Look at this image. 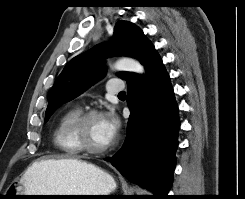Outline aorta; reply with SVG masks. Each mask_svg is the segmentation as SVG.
<instances>
[{
	"label": "aorta",
	"mask_w": 245,
	"mask_h": 199,
	"mask_svg": "<svg viewBox=\"0 0 245 199\" xmlns=\"http://www.w3.org/2000/svg\"><path fill=\"white\" fill-rule=\"evenodd\" d=\"M113 67L118 71H128L137 74H143L145 72L143 65L131 58H121L115 62Z\"/></svg>",
	"instance_id": "aorta-1"
}]
</instances>
